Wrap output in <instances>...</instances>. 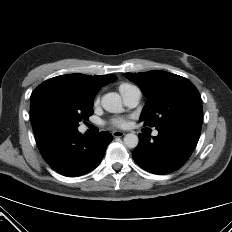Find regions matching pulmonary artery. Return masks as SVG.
<instances>
[{"label": "pulmonary artery", "mask_w": 232, "mask_h": 232, "mask_svg": "<svg viewBox=\"0 0 232 232\" xmlns=\"http://www.w3.org/2000/svg\"><path fill=\"white\" fill-rule=\"evenodd\" d=\"M124 102L128 107H135L137 106V104L139 103L140 99H141V92L138 88H136L135 90H133L132 92H130L127 95L123 96ZM153 135L157 136L158 135V131L155 130L153 131Z\"/></svg>", "instance_id": "e3ab8cb5"}]
</instances>
